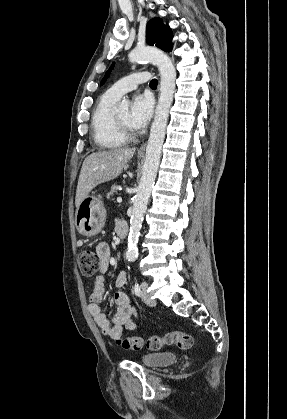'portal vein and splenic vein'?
<instances>
[{"mask_svg":"<svg viewBox=\"0 0 287 419\" xmlns=\"http://www.w3.org/2000/svg\"><path fill=\"white\" fill-rule=\"evenodd\" d=\"M117 202H118V203H121V202H122V198H121V197H118V198H117Z\"/></svg>","mask_w":287,"mask_h":419,"instance_id":"obj_1","label":"portal vein and splenic vein"}]
</instances>
